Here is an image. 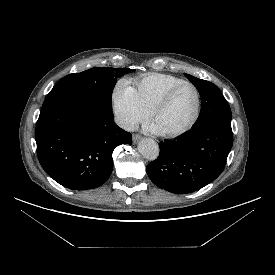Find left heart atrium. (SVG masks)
Masks as SVG:
<instances>
[{
	"mask_svg": "<svg viewBox=\"0 0 275 275\" xmlns=\"http://www.w3.org/2000/svg\"><path fill=\"white\" fill-rule=\"evenodd\" d=\"M149 130L154 132V133H162L160 128L154 122L150 124Z\"/></svg>",
	"mask_w": 275,
	"mask_h": 275,
	"instance_id": "1",
	"label": "left heart atrium"
}]
</instances>
